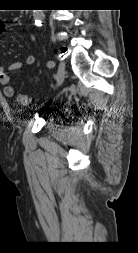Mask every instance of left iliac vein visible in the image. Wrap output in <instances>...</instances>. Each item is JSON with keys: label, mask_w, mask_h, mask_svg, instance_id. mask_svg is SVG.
I'll return each instance as SVG.
<instances>
[{"label": "left iliac vein", "mask_w": 138, "mask_h": 253, "mask_svg": "<svg viewBox=\"0 0 138 253\" xmlns=\"http://www.w3.org/2000/svg\"><path fill=\"white\" fill-rule=\"evenodd\" d=\"M65 78V65L63 63H60L58 65V70L56 74V81H57V86H60Z\"/></svg>", "instance_id": "obj_1"}]
</instances>
